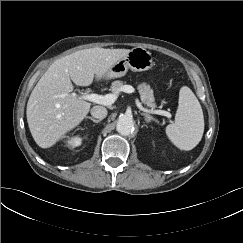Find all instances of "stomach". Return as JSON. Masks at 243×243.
I'll use <instances>...</instances> for the list:
<instances>
[{"label": "stomach", "mask_w": 243, "mask_h": 243, "mask_svg": "<svg viewBox=\"0 0 243 243\" xmlns=\"http://www.w3.org/2000/svg\"><path fill=\"white\" fill-rule=\"evenodd\" d=\"M152 54L145 48L135 47L128 54L116 62L106 73L107 79L124 76L129 69L132 71H146L153 67Z\"/></svg>", "instance_id": "1"}]
</instances>
